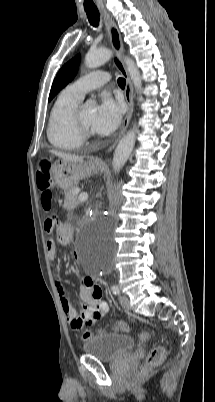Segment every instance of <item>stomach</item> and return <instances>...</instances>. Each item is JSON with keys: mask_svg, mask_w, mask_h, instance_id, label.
<instances>
[{"mask_svg": "<svg viewBox=\"0 0 215 402\" xmlns=\"http://www.w3.org/2000/svg\"><path fill=\"white\" fill-rule=\"evenodd\" d=\"M99 170L100 166L93 160H58L51 167L54 182L65 190L76 186L80 180L98 173Z\"/></svg>", "mask_w": 215, "mask_h": 402, "instance_id": "obj_1", "label": "stomach"}]
</instances>
